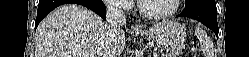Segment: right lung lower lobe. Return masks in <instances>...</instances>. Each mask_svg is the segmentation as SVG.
I'll return each instance as SVG.
<instances>
[{
    "mask_svg": "<svg viewBox=\"0 0 249 57\" xmlns=\"http://www.w3.org/2000/svg\"><path fill=\"white\" fill-rule=\"evenodd\" d=\"M65 3H75L83 5L105 19L106 8L102 0H40L38 5L37 18L35 20V28H37L40 21L45 16H47L48 13H50L59 5Z\"/></svg>",
    "mask_w": 249,
    "mask_h": 57,
    "instance_id": "right-lung-lower-lobe-1",
    "label": "right lung lower lobe"
}]
</instances>
